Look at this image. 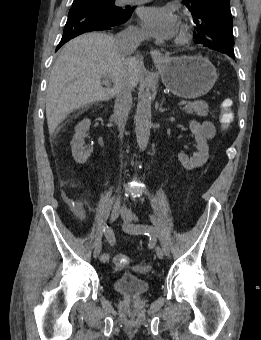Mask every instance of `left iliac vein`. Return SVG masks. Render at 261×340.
I'll return each mask as SVG.
<instances>
[{
  "mask_svg": "<svg viewBox=\"0 0 261 340\" xmlns=\"http://www.w3.org/2000/svg\"><path fill=\"white\" fill-rule=\"evenodd\" d=\"M121 217L123 219V229L126 232L132 233V234H142L143 233L141 231L132 230L130 228V225L132 224L133 220L135 219L130 210H128L127 208H123L122 211H121ZM156 254L160 259H163L164 251L160 246H156Z\"/></svg>",
  "mask_w": 261,
  "mask_h": 340,
  "instance_id": "1",
  "label": "left iliac vein"
}]
</instances>
